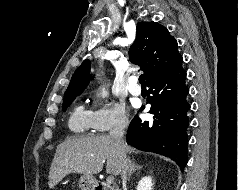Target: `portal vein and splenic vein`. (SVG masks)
I'll use <instances>...</instances> for the list:
<instances>
[{
  "label": "portal vein and splenic vein",
  "mask_w": 238,
  "mask_h": 190,
  "mask_svg": "<svg viewBox=\"0 0 238 190\" xmlns=\"http://www.w3.org/2000/svg\"><path fill=\"white\" fill-rule=\"evenodd\" d=\"M113 180H114V177L111 175V176L108 177L107 182L112 183Z\"/></svg>",
  "instance_id": "obj_1"
}]
</instances>
